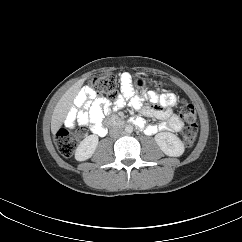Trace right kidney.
I'll use <instances>...</instances> for the list:
<instances>
[{
  "instance_id": "right-kidney-1",
  "label": "right kidney",
  "mask_w": 242,
  "mask_h": 242,
  "mask_svg": "<svg viewBox=\"0 0 242 242\" xmlns=\"http://www.w3.org/2000/svg\"><path fill=\"white\" fill-rule=\"evenodd\" d=\"M98 140V136L90 135L81 141L76 149L75 159L78 161H85L89 159L96 150Z\"/></svg>"
}]
</instances>
